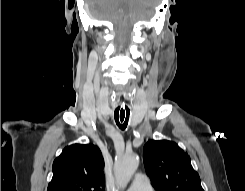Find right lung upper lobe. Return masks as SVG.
Wrapping results in <instances>:
<instances>
[{
	"label": "right lung upper lobe",
	"mask_w": 245,
	"mask_h": 191,
	"mask_svg": "<svg viewBox=\"0 0 245 191\" xmlns=\"http://www.w3.org/2000/svg\"><path fill=\"white\" fill-rule=\"evenodd\" d=\"M47 191H105L99 148L92 144L66 147L53 163Z\"/></svg>",
	"instance_id": "1"
}]
</instances>
